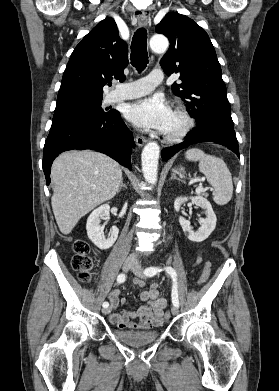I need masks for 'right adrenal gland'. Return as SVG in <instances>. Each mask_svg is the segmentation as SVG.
I'll return each mask as SVG.
<instances>
[{"label":"right adrenal gland","mask_w":279,"mask_h":391,"mask_svg":"<svg viewBox=\"0 0 279 391\" xmlns=\"http://www.w3.org/2000/svg\"><path fill=\"white\" fill-rule=\"evenodd\" d=\"M122 188H127V186L123 183V179H122L121 184L119 186L118 193L122 190Z\"/></svg>","instance_id":"obj_1"}]
</instances>
